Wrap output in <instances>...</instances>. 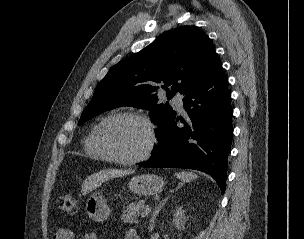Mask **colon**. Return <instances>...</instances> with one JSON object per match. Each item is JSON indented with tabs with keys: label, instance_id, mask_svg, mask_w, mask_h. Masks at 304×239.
<instances>
[{
	"label": "colon",
	"instance_id": "5ec220e1",
	"mask_svg": "<svg viewBox=\"0 0 304 239\" xmlns=\"http://www.w3.org/2000/svg\"><path fill=\"white\" fill-rule=\"evenodd\" d=\"M57 207L67 214H73L77 208L76 197L72 193L61 195L57 198Z\"/></svg>",
	"mask_w": 304,
	"mask_h": 239
}]
</instances>
